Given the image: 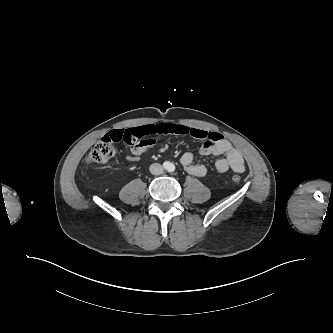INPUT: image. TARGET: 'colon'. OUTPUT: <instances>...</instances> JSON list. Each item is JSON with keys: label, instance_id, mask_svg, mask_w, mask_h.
<instances>
[{"label": "colon", "instance_id": "5ec220e1", "mask_svg": "<svg viewBox=\"0 0 333 333\" xmlns=\"http://www.w3.org/2000/svg\"><path fill=\"white\" fill-rule=\"evenodd\" d=\"M112 140L106 136L102 137L100 141H98L95 146L91 149L87 162L96 163V164H104L111 160L114 156V148L112 145ZM234 182H239L240 177L234 176Z\"/></svg>", "mask_w": 333, "mask_h": 333}]
</instances>
